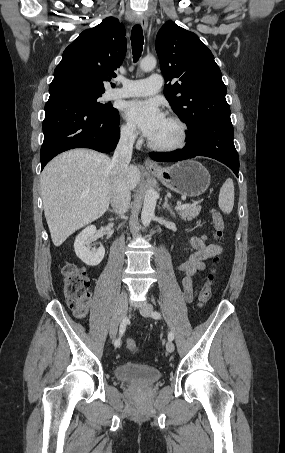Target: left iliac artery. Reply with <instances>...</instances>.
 I'll list each match as a JSON object with an SVG mask.
<instances>
[{
	"mask_svg": "<svg viewBox=\"0 0 285 453\" xmlns=\"http://www.w3.org/2000/svg\"><path fill=\"white\" fill-rule=\"evenodd\" d=\"M151 316L154 319H161V314L159 312H157V311L152 312ZM173 339H174V333L172 331H170L169 334H168V340L172 341Z\"/></svg>",
	"mask_w": 285,
	"mask_h": 453,
	"instance_id": "obj_1",
	"label": "left iliac artery"
}]
</instances>
